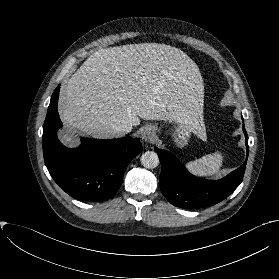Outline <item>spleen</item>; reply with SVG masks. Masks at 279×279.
<instances>
[{"label":"spleen","instance_id":"spleen-1","mask_svg":"<svg viewBox=\"0 0 279 279\" xmlns=\"http://www.w3.org/2000/svg\"><path fill=\"white\" fill-rule=\"evenodd\" d=\"M224 161V156L220 151L208 154L200 159L186 164V168L198 177H209L219 173Z\"/></svg>","mask_w":279,"mask_h":279}]
</instances>
